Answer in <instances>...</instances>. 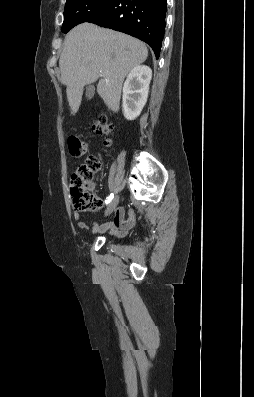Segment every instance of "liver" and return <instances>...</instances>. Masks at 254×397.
<instances>
[{
    "label": "liver",
    "instance_id": "liver-1",
    "mask_svg": "<svg viewBox=\"0 0 254 397\" xmlns=\"http://www.w3.org/2000/svg\"><path fill=\"white\" fill-rule=\"evenodd\" d=\"M147 57L146 45L129 35L91 23L74 27L65 37L59 59L71 113L80 107L84 86L98 79L99 96L117 112L126 75Z\"/></svg>",
    "mask_w": 254,
    "mask_h": 397
}]
</instances>
